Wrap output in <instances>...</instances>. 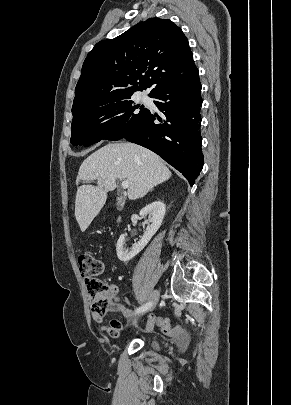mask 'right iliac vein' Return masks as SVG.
Masks as SVG:
<instances>
[{"instance_id":"right-iliac-vein-1","label":"right iliac vein","mask_w":291,"mask_h":405,"mask_svg":"<svg viewBox=\"0 0 291 405\" xmlns=\"http://www.w3.org/2000/svg\"><path fill=\"white\" fill-rule=\"evenodd\" d=\"M158 301H159V292L157 290H155L151 294V300H150L151 306H150L149 310L154 309L156 307ZM134 323H136V321Z\"/></svg>"}]
</instances>
